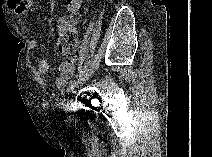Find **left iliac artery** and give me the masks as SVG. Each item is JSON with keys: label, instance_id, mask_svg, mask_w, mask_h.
<instances>
[{"label": "left iliac artery", "instance_id": "44dca946", "mask_svg": "<svg viewBox=\"0 0 212 157\" xmlns=\"http://www.w3.org/2000/svg\"><path fill=\"white\" fill-rule=\"evenodd\" d=\"M86 80H88V77L81 78L80 80H75V81L71 82L69 87H68V89H67V92L72 91L78 84H80V83H82V82H84Z\"/></svg>", "mask_w": 212, "mask_h": 157}]
</instances>
